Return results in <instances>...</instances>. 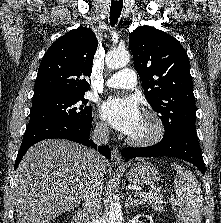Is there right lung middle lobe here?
I'll return each instance as SVG.
<instances>
[{"label":"right lung middle lobe","mask_w":221,"mask_h":223,"mask_svg":"<svg viewBox=\"0 0 221 223\" xmlns=\"http://www.w3.org/2000/svg\"><path fill=\"white\" fill-rule=\"evenodd\" d=\"M85 93L55 96L33 101L30 121L27 127L49 122L65 121L77 124L92 121V110L87 106Z\"/></svg>","instance_id":"dd1d6c3e"}]
</instances>
